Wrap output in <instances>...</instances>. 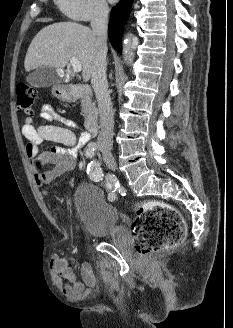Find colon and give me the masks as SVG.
<instances>
[{
  "mask_svg": "<svg viewBox=\"0 0 233 328\" xmlns=\"http://www.w3.org/2000/svg\"><path fill=\"white\" fill-rule=\"evenodd\" d=\"M17 104L20 111L30 114L37 101V91L20 81L16 85ZM132 240L137 253L147 256L177 246L186 235V223L173 206L148 201L136 206Z\"/></svg>",
  "mask_w": 233,
  "mask_h": 328,
  "instance_id": "1",
  "label": "colon"
}]
</instances>
